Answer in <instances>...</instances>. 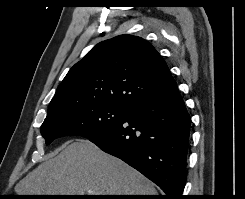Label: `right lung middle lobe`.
<instances>
[{"label":"right lung middle lobe","instance_id":"1","mask_svg":"<svg viewBox=\"0 0 245 199\" xmlns=\"http://www.w3.org/2000/svg\"><path fill=\"white\" fill-rule=\"evenodd\" d=\"M127 111V108L110 104L72 105L47 115L41 126V134L46 144L69 135L91 137L120 121Z\"/></svg>","mask_w":245,"mask_h":199}]
</instances>
